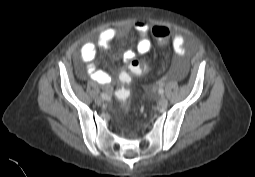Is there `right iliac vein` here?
Segmentation results:
<instances>
[{
	"label": "right iliac vein",
	"mask_w": 255,
	"mask_h": 177,
	"mask_svg": "<svg viewBox=\"0 0 255 177\" xmlns=\"http://www.w3.org/2000/svg\"><path fill=\"white\" fill-rule=\"evenodd\" d=\"M95 102H96V104L101 105L102 102H103V100L101 99V97H97V98L95 99Z\"/></svg>",
	"instance_id": "obj_1"
}]
</instances>
